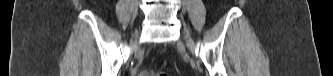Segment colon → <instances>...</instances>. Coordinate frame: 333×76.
I'll return each mask as SVG.
<instances>
[{
	"instance_id": "obj_1",
	"label": "colon",
	"mask_w": 333,
	"mask_h": 76,
	"mask_svg": "<svg viewBox=\"0 0 333 76\" xmlns=\"http://www.w3.org/2000/svg\"><path fill=\"white\" fill-rule=\"evenodd\" d=\"M146 75H152V76H165V73H159V72H154V71H149L146 73Z\"/></svg>"
}]
</instances>
